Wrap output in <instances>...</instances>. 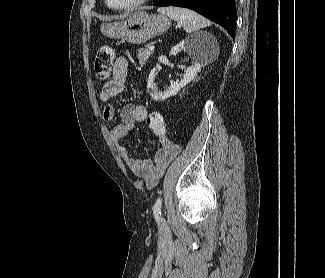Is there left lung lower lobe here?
Returning <instances> with one entry per match:
<instances>
[{
    "label": "left lung lower lobe",
    "mask_w": 325,
    "mask_h": 278,
    "mask_svg": "<svg viewBox=\"0 0 325 278\" xmlns=\"http://www.w3.org/2000/svg\"><path fill=\"white\" fill-rule=\"evenodd\" d=\"M154 6H179L192 9L223 26L235 38L237 18L235 0H154Z\"/></svg>",
    "instance_id": "left-lung-lower-lobe-1"
}]
</instances>
